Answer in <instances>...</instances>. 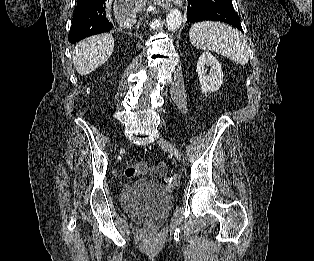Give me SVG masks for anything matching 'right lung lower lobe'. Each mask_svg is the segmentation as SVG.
Wrapping results in <instances>:
<instances>
[{
  "label": "right lung lower lobe",
  "mask_w": 314,
  "mask_h": 261,
  "mask_svg": "<svg viewBox=\"0 0 314 261\" xmlns=\"http://www.w3.org/2000/svg\"><path fill=\"white\" fill-rule=\"evenodd\" d=\"M107 0H78L68 40L76 43L91 35L108 32L112 23L106 17Z\"/></svg>",
  "instance_id": "obj_1"
}]
</instances>
